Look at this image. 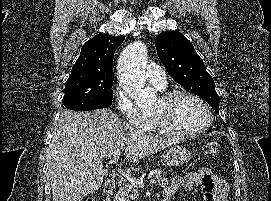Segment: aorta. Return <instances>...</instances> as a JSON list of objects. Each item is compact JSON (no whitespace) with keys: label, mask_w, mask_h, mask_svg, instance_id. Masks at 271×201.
Here are the masks:
<instances>
[{"label":"aorta","mask_w":271,"mask_h":201,"mask_svg":"<svg viewBox=\"0 0 271 201\" xmlns=\"http://www.w3.org/2000/svg\"><path fill=\"white\" fill-rule=\"evenodd\" d=\"M147 57L145 44L134 42L123 50L117 63L120 82L124 90L140 107L150 106L156 100L155 92L144 87Z\"/></svg>","instance_id":"aorta-1"}]
</instances>
